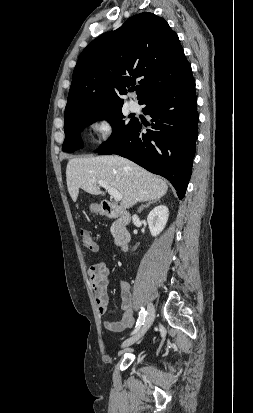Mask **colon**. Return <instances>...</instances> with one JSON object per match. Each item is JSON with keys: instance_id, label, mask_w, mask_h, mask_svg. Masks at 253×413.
Wrapping results in <instances>:
<instances>
[{"instance_id": "1", "label": "colon", "mask_w": 253, "mask_h": 413, "mask_svg": "<svg viewBox=\"0 0 253 413\" xmlns=\"http://www.w3.org/2000/svg\"><path fill=\"white\" fill-rule=\"evenodd\" d=\"M80 237H81V243L85 248L91 251H97L98 246L87 230L81 229Z\"/></svg>"}]
</instances>
